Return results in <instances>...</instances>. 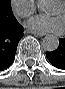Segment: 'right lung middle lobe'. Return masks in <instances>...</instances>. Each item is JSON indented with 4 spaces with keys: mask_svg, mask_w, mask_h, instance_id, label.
<instances>
[{
    "mask_svg": "<svg viewBox=\"0 0 65 89\" xmlns=\"http://www.w3.org/2000/svg\"><path fill=\"white\" fill-rule=\"evenodd\" d=\"M0 12L6 15H13L10 0H0Z\"/></svg>",
    "mask_w": 65,
    "mask_h": 89,
    "instance_id": "obj_1",
    "label": "right lung middle lobe"
}]
</instances>
